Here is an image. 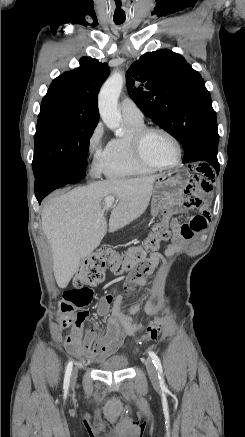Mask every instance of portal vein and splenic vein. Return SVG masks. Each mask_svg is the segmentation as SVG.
<instances>
[{
	"instance_id": "obj_1",
	"label": "portal vein and splenic vein",
	"mask_w": 245,
	"mask_h": 437,
	"mask_svg": "<svg viewBox=\"0 0 245 437\" xmlns=\"http://www.w3.org/2000/svg\"><path fill=\"white\" fill-rule=\"evenodd\" d=\"M114 201H115V198L113 196L106 197L104 199L105 208L111 207L113 205Z\"/></svg>"
}]
</instances>
